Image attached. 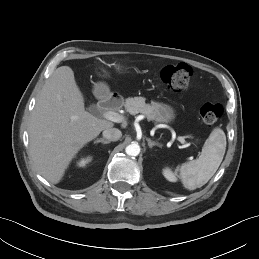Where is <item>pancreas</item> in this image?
<instances>
[{
  "label": "pancreas",
  "instance_id": "obj_1",
  "mask_svg": "<svg viewBox=\"0 0 259 259\" xmlns=\"http://www.w3.org/2000/svg\"><path fill=\"white\" fill-rule=\"evenodd\" d=\"M124 105L130 114L136 115L138 113H142L147 117V119L154 120L156 105L146 104L143 97L128 98Z\"/></svg>",
  "mask_w": 259,
  "mask_h": 259
}]
</instances>
